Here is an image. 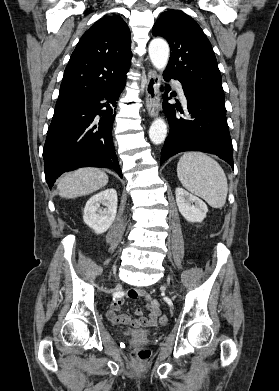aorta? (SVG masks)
Listing matches in <instances>:
<instances>
[{"label":"aorta","instance_id":"aorta-1","mask_svg":"<svg viewBox=\"0 0 279 391\" xmlns=\"http://www.w3.org/2000/svg\"><path fill=\"white\" fill-rule=\"evenodd\" d=\"M153 66L163 71L169 59V45L163 39H153L148 48ZM167 135V125L162 118L155 119L149 129V138L154 144H161Z\"/></svg>","mask_w":279,"mask_h":391}]
</instances>
